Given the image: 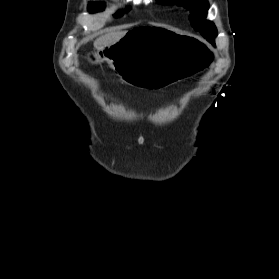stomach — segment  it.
<instances>
[{"mask_svg":"<svg viewBox=\"0 0 279 279\" xmlns=\"http://www.w3.org/2000/svg\"><path fill=\"white\" fill-rule=\"evenodd\" d=\"M135 28L112 46L88 50L86 63L99 66L101 59H107L135 91H165V87H174L178 82H196V78H205L212 71L206 66L212 61L213 53L202 40L163 25H136Z\"/></svg>","mask_w":279,"mask_h":279,"instance_id":"0dacf381","label":"stomach"}]
</instances>
